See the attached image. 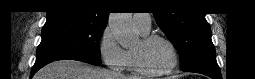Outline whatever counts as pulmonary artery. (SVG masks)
Instances as JSON below:
<instances>
[{"label": "pulmonary artery", "instance_id": "obj_1", "mask_svg": "<svg viewBox=\"0 0 255 79\" xmlns=\"http://www.w3.org/2000/svg\"><path fill=\"white\" fill-rule=\"evenodd\" d=\"M133 21L137 29L143 32H148L150 30L151 18L149 14H134Z\"/></svg>", "mask_w": 255, "mask_h": 79}]
</instances>
